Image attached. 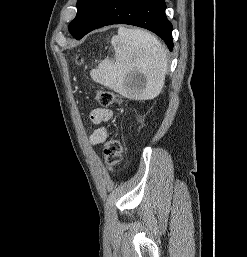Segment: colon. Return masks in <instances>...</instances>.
Instances as JSON below:
<instances>
[{"instance_id":"1","label":"colon","mask_w":247,"mask_h":257,"mask_svg":"<svg viewBox=\"0 0 247 257\" xmlns=\"http://www.w3.org/2000/svg\"><path fill=\"white\" fill-rule=\"evenodd\" d=\"M96 100L101 106L108 107L117 102V96L112 91L100 90L96 94ZM103 155L110 170H113L122 160V146L113 130L105 142Z\"/></svg>"}]
</instances>
